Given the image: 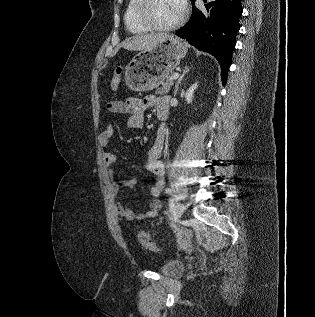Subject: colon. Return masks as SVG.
Listing matches in <instances>:
<instances>
[{"label": "colon", "mask_w": 315, "mask_h": 317, "mask_svg": "<svg viewBox=\"0 0 315 317\" xmlns=\"http://www.w3.org/2000/svg\"><path fill=\"white\" fill-rule=\"evenodd\" d=\"M121 68H117L115 71L112 80H111V87L113 90H116L120 84L121 80ZM138 239L141 245L148 251L156 252L158 251V246L156 245L153 238L146 233L145 231H139L138 233Z\"/></svg>", "instance_id": "1"}]
</instances>
